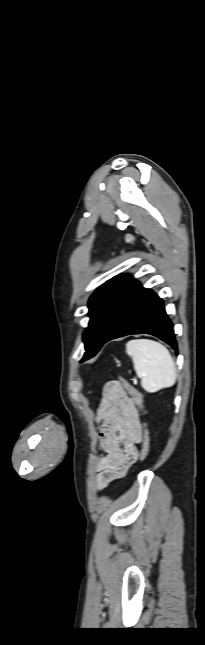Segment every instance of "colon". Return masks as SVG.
<instances>
[{"label":"colon","mask_w":205,"mask_h":645,"mask_svg":"<svg viewBox=\"0 0 205 645\" xmlns=\"http://www.w3.org/2000/svg\"><path fill=\"white\" fill-rule=\"evenodd\" d=\"M108 384L111 389L126 391L130 395L133 403L138 408L139 415L142 417V415L144 414L143 396L134 386H132L121 376H119L117 380L110 381ZM141 428H142V444H141V450L139 454V461L143 462L149 453L150 439H149L148 431L146 429V425L143 421H141Z\"/></svg>","instance_id":"colon-1"}]
</instances>
